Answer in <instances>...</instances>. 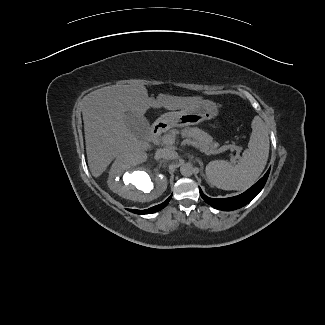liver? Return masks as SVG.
Returning <instances> with one entry per match:
<instances>
[{"label":"liver","mask_w":325,"mask_h":325,"mask_svg":"<svg viewBox=\"0 0 325 325\" xmlns=\"http://www.w3.org/2000/svg\"><path fill=\"white\" fill-rule=\"evenodd\" d=\"M200 96H148L144 85H112L97 89L84 98L82 110L89 169L99 177L115 159L146 157L151 145L136 137L125 123V113L143 116L150 108L186 109L199 104Z\"/></svg>","instance_id":"liver-1"}]
</instances>
